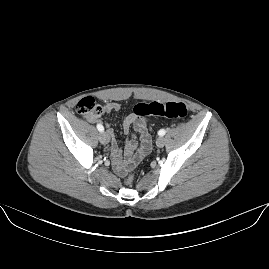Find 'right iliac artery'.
<instances>
[{"mask_svg": "<svg viewBox=\"0 0 269 269\" xmlns=\"http://www.w3.org/2000/svg\"><path fill=\"white\" fill-rule=\"evenodd\" d=\"M97 129H98L100 132H103V131H104V127H103L101 124H97Z\"/></svg>", "mask_w": 269, "mask_h": 269, "instance_id": "1", "label": "right iliac artery"}]
</instances>
